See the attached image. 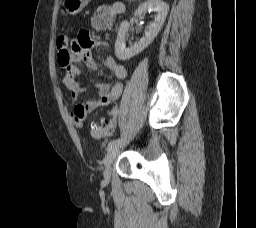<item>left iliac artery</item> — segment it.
Instances as JSON below:
<instances>
[{
    "label": "left iliac artery",
    "instance_id": "44dca946",
    "mask_svg": "<svg viewBox=\"0 0 256 228\" xmlns=\"http://www.w3.org/2000/svg\"><path fill=\"white\" fill-rule=\"evenodd\" d=\"M118 142H120V138H117V139H114V140L110 141L109 144H108V149L110 147H112L113 145L117 144Z\"/></svg>",
    "mask_w": 256,
    "mask_h": 228
}]
</instances>
